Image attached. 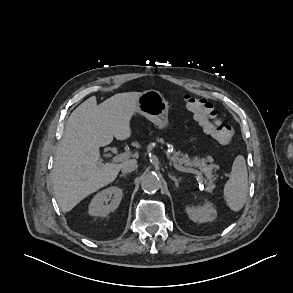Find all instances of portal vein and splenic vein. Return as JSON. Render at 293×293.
I'll list each match as a JSON object with an SVG mask.
<instances>
[{
	"mask_svg": "<svg viewBox=\"0 0 293 293\" xmlns=\"http://www.w3.org/2000/svg\"><path fill=\"white\" fill-rule=\"evenodd\" d=\"M130 156H131L130 152H124V153H121V154L114 156L113 161L114 162H122V161L127 160ZM173 166L178 171L195 174L201 181L203 180V178L199 176V172L197 170L185 168V167L179 166L177 164H173Z\"/></svg>",
	"mask_w": 293,
	"mask_h": 293,
	"instance_id": "18ae733b",
	"label": "portal vein and splenic vein"
}]
</instances>
